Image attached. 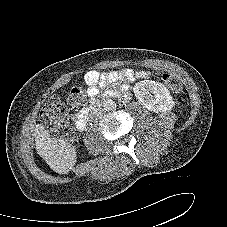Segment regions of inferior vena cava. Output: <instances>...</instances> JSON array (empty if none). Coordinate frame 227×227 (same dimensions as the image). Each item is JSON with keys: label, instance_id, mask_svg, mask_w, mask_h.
I'll return each instance as SVG.
<instances>
[{"label": "inferior vena cava", "instance_id": "1", "mask_svg": "<svg viewBox=\"0 0 227 227\" xmlns=\"http://www.w3.org/2000/svg\"><path fill=\"white\" fill-rule=\"evenodd\" d=\"M104 110L102 108H94L90 113L91 120H97L102 117Z\"/></svg>", "mask_w": 227, "mask_h": 227}]
</instances>
